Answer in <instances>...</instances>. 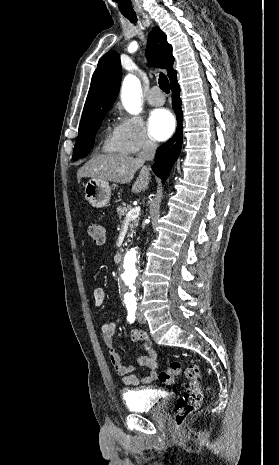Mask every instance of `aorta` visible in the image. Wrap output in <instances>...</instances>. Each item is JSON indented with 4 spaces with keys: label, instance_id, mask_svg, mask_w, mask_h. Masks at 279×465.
Masks as SVG:
<instances>
[{
    "label": "aorta",
    "instance_id": "obj_1",
    "mask_svg": "<svg viewBox=\"0 0 279 465\" xmlns=\"http://www.w3.org/2000/svg\"><path fill=\"white\" fill-rule=\"evenodd\" d=\"M141 93L139 79L133 74H128L122 83L121 100L129 113L138 114L141 111ZM138 277V251L131 249L125 254L120 273V286L125 302L134 299Z\"/></svg>",
    "mask_w": 279,
    "mask_h": 465
}]
</instances>
